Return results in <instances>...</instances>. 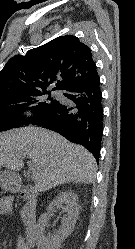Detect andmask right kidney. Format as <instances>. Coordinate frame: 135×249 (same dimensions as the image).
I'll use <instances>...</instances> for the list:
<instances>
[{"label":"right kidney","mask_w":135,"mask_h":249,"mask_svg":"<svg viewBox=\"0 0 135 249\" xmlns=\"http://www.w3.org/2000/svg\"><path fill=\"white\" fill-rule=\"evenodd\" d=\"M62 207L66 215L63 216L61 223L62 226L59 230L51 235L46 234V227L50 218V214ZM79 216L78 197L71 190L61 192L49 204L47 212L42 214L36 225L37 246L38 249H59L61 243L73 232L76 221Z\"/></svg>","instance_id":"ca27d5eb"}]
</instances>
